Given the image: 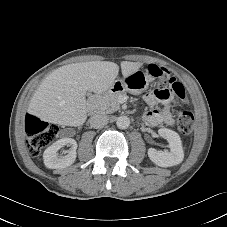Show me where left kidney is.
Wrapping results in <instances>:
<instances>
[{
	"instance_id": "left-kidney-1",
	"label": "left kidney",
	"mask_w": 227,
	"mask_h": 227,
	"mask_svg": "<svg viewBox=\"0 0 227 227\" xmlns=\"http://www.w3.org/2000/svg\"><path fill=\"white\" fill-rule=\"evenodd\" d=\"M158 134L167 140L170 151H159L154 148L148 150L150 160L160 167H171L183 161L184 151L178 133L167 128L158 130Z\"/></svg>"
}]
</instances>
